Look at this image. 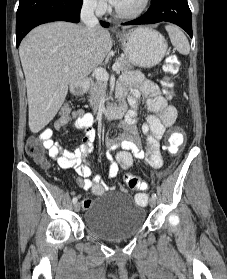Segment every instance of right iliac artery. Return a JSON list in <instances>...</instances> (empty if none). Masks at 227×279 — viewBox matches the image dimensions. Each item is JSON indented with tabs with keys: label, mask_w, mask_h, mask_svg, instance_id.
<instances>
[{
	"label": "right iliac artery",
	"mask_w": 227,
	"mask_h": 279,
	"mask_svg": "<svg viewBox=\"0 0 227 279\" xmlns=\"http://www.w3.org/2000/svg\"><path fill=\"white\" fill-rule=\"evenodd\" d=\"M72 202L75 204V203L77 202V198L74 197V198L72 199Z\"/></svg>",
	"instance_id": "right-iliac-artery-1"
}]
</instances>
